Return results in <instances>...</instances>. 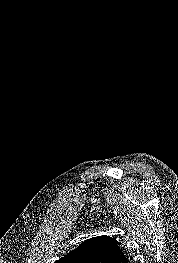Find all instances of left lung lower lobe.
<instances>
[{
    "mask_svg": "<svg viewBox=\"0 0 178 263\" xmlns=\"http://www.w3.org/2000/svg\"><path fill=\"white\" fill-rule=\"evenodd\" d=\"M110 263H130L127 257L121 252V254L111 260Z\"/></svg>",
    "mask_w": 178,
    "mask_h": 263,
    "instance_id": "1",
    "label": "left lung lower lobe"
}]
</instances>
